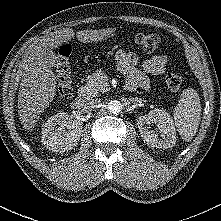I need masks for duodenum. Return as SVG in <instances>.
Listing matches in <instances>:
<instances>
[{
    "mask_svg": "<svg viewBox=\"0 0 221 221\" xmlns=\"http://www.w3.org/2000/svg\"><path fill=\"white\" fill-rule=\"evenodd\" d=\"M86 102V95H79L76 100L72 103V108L76 110H81L84 108Z\"/></svg>",
    "mask_w": 221,
    "mask_h": 221,
    "instance_id": "duodenum-1",
    "label": "duodenum"
}]
</instances>
